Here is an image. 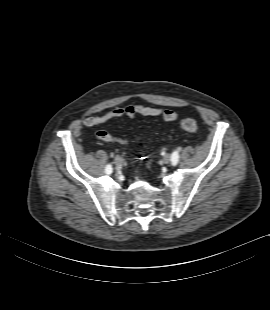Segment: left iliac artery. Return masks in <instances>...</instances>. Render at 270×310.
Wrapping results in <instances>:
<instances>
[{"instance_id":"44dca946","label":"left iliac artery","mask_w":270,"mask_h":310,"mask_svg":"<svg viewBox=\"0 0 270 310\" xmlns=\"http://www.w3.org/2000/svg\"><path fill=\"white\" fill-rule=\"evenodd\" d=\"M171 161L173 165H177L178 161H179V155L178 152H173L172 156H171Z\"/></svg>"}]
</instances>
